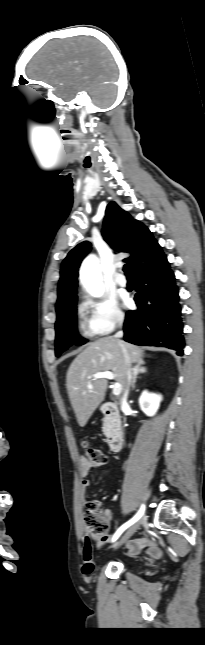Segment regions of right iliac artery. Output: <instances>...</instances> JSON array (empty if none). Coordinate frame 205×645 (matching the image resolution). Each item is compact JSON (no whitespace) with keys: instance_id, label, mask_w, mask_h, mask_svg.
<instances>
[{"instance_id":"82829eb1","label":"right iliac artery","mask_w":205,"mask_h":645,"mask_svg":"<svg viewBox=\"0 0 205 645\" xmlns=\"http://www.w3.org/2000/svg\"><path fill=\"white\" fill-rule=\"evenodd\" d=\"M144 511H145V506H144V505H142V506H141V508L139 509V511L137 512V514H136V515H135V516H134L130 521H128L127 523H125L124 525H122V526H121V527L116 531V533L114 534V536H113V538H112V541H113V542H114V541H116V540L119 538V536H120V535H121V534H122V533H123V532H124L128 527H129V526H131L134 522H136L139 518H141V516L144 514Z\"/></svg>"}]
</instances>
